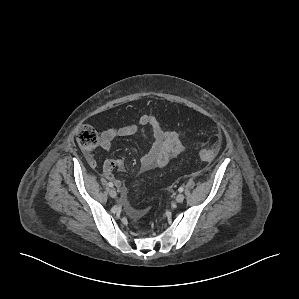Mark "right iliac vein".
I'll list each match as a JSON object with an SVG mask.
<instances>
[{"mask_svg":"<svg viewBox=\"0 0 299 299\" xmlns=\"http://www.w3.org/2000/svg\"><path fill=\"white\" fill-rule=\"evenodd\" d=\"M109 195H110V197L115 198L117 196V193H116L115 189H110L109 190Z\"/></svg>","mask_w":299,"mask_h":299,"instance_id":"63e3f726","label":"right iliac vein"}]
</instances>
